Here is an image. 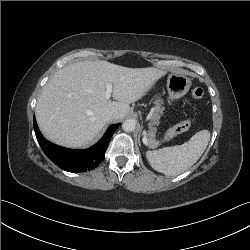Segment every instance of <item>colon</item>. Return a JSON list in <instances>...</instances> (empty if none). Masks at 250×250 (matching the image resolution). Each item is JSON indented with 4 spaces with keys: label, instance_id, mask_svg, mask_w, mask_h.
<instances>
[{
    "label": "colon",
    "instance_id": "1",
    "mask_svg": "<svg viewBox=\"0 0 250 250\" xmlns=\"http://www.w3.org/2000/svg\"><path fill=\"white\" fill-rule=\"evenodd\" d=\"M203 96H204V90L202 88L198 87L192 91V97L195 100H200ZM190 126H191V120H185L179 124H176L166 132L163 141H169L173 137L186 132L190 128Z\"/></svg>",
    "mask_w": 250,
    "mask_h": 250
}]
</instances>
